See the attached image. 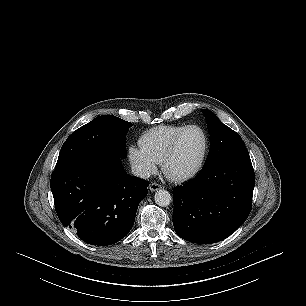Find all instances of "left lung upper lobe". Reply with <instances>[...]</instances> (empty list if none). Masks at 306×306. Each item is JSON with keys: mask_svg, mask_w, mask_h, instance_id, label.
I'll list each match as a JSON object with an SVG mask.
<instances>
[{"mask_svg": "<svg viewBox=\"0 0 306 306\" xmlns=\"http://www.w3.org/2000/svg\"><path fill=\"white\" fill-rule=\"evenodd\" d=\"M201 111L210 134V150L204 166L229 157L249 155L238 133L223 124L210 110Z\"/></svg>", "mask_w": 306, "mask_h": 306, "instance_id": "1", "label": "left lung upper lobe"}]
</instances>
